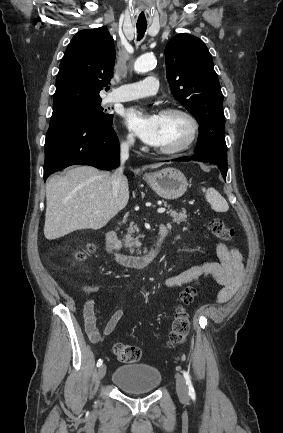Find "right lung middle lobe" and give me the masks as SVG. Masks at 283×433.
<instances>
[{
  "instance_id": "right-lung-middle-lobe-1",
  "label": "right lung middle lobe",
  "mask_w": 283,
  "mask_h": 433,
  "mask_svg": "<svg viewBox=\"0 0 283 433\" xmlns=\"http://www.w3.org/2000/svg\"><path fill=\"white\" fill-rule=\"evenodd\" d=\"M100 105L101 101H96L53 112L50 122L71 119H91L109 122L113 119V115L103 112V108Z\"/></svg>"
}]
</instances>
